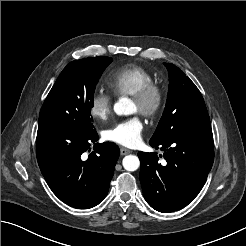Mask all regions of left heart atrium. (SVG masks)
I'll use <instances>...</instances> for the list:
<instances>
[{
    "instance_id": "left-heart-atrium-1",
    "label": "left heart atrium",
    "mask_w": 246,
    "mask_h": 246,
    "mask_svg": "<svg viewBox=\"0 0 246 246\" xmlns=\"http://www.w3.org/2000/svg\"><path fill=\"white\" fill-rule=\"evenodd\" d=\"M143 123L138 116L119 122L104 132V138L108 141L126 147L137 146L142 137Z\"/></svg>"
}]
</instances>
